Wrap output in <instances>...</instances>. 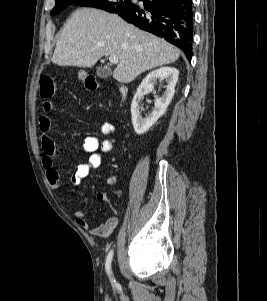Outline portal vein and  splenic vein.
Returning a JSON list of instances; mask_svg holds the SVG:
<instances>
[{"label": "portal vein and splenic vein", "instance_id": "obj_1", "mask_svg": "<svg viewBox=\"0 0 267 301\" xmlns=\"http://www.w3.org/2000/svg\"><path fill=\"white\" fill-rule=\"evenodd\" d=\"M109 61L112 64H117L119 60H118V57H116V56H110Z\"/></svg>", "mask_w": 267, "mask_h": 301}]
</instances>
